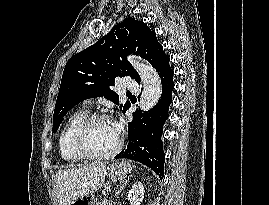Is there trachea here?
<instances>
[{"label": "trachea", "instance_id": "obj_1", "mask_svg": "<svg viewBox=\"0 0 269 205\" xmlns=\"http://www.w3.org/2000/svg\"><path fill=\"white\" fill-rule=\"evenodd\" d=\"M126 94H127V95H131V92H127Z\"/></svg>", "mask_w": 269, "mask_h": 205}]
</instances>
